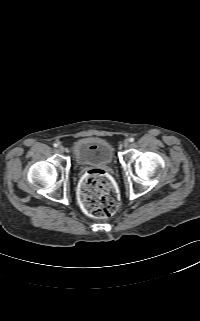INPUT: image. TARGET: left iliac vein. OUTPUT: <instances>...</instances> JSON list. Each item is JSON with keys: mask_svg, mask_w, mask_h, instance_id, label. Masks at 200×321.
Returning a JSON list of instances; mask_svg holds the SVG:
<instances>
[{"mask_svg": "<svg viewBox=\"0 0 200 321\" xmlns=\"http://www.w3.org/2000/svg\"><path fill=\"white\" fill-rule=\"evenodd\" d=\"M125 148H128L130 146V141L129 140H125L123 143Z\"/></svg>", "mask_w": 200, "mask_h": 321, "instance_id": "obj_1", "label": "left iliac vein"}]
</instances>
